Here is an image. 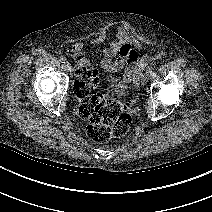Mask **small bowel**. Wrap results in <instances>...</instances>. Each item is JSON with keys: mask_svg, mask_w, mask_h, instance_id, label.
Masks as SVG:
<instances>
[{"mask_svg": "<svg viewBox=\"0 0 212 212\" xmlns=\"http://www.w3.org/2000/svg\"><path fill=\"white\" fill-rule=\"evenodd\" d=\"M108 34V29H103L97 36L91 38L87 45L76 43L73 46L74 56L83 54L85 48L102 44ZM139 42L130 34L127 27L118 30V37L104 48V57L101 66L109 72L124 71L123 79L126 82H139L140 74L149 65L154 64L163 56L161 52L154 55L139 54Z\"/></svg>", "mask_w": 212, "mask_h": 212, "instance_id": "1", "label": "small bowel"}]
</instances>
